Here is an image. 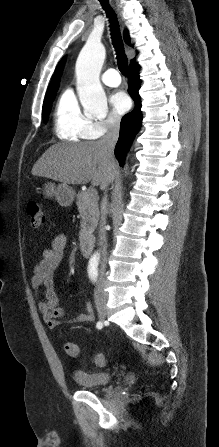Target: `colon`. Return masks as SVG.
Returning <instances> with one entry per match:
<instances>
[{
  "mask_svg": "<svg viewBox=\"0 0 219 447\" xmlns=\"http://www.w3.org/2000/svg\"><path fill=\"white\" fill-rule=\"evenodd\" d=\"M27 209L30 217L31 226L36 228L43 225L45 221V214L42 203L36 201L30 202L28 204ZM65 351L67 355L72 358H77L80 354L79 347L71 342H67L65 344ZM92 360L96 365L101 367L107 364V358L102 353L95 354Z\"/></svg>",
  "mask_w": 219,
  "mask_h": 447,
  "instance_id": "obj_1",
  "label": "colon"
}]
</instances>
